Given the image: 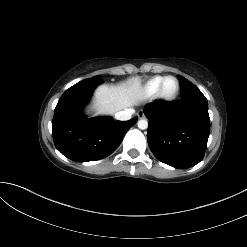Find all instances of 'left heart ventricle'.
Listing matches in <instances>:
<instances>
[{
    "instance_id": "b2bd125f",
    "label": "left heart ventricle",
    "mask_w": 247,
    "mask_h": 247,
    "mask_svg": "<svg viewBox=\"0 0 247 247\" xmlns=\"http://www.w3.org/2000/svg\"><path fill=\"white\" fill-rule=\"evenodd\" d=\"M175 88H176V82H175V80L168 79L166 81V83H165V86H164V93L166 95H169V94H171V93L174 92Z\"/></svg>"
}]
</instances>
